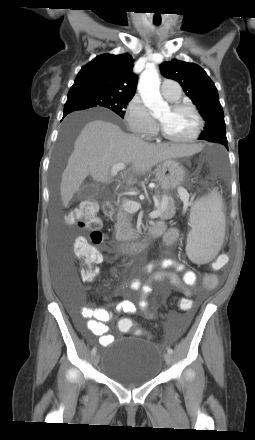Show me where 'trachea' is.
<instances>
[{"instance_id":"trachea-1","label":"trachea","mask_w":255,"mask_h":440,"mask_svg":"<svg viewBox=\"0 0 255 440\" xmlns=\"http://www.w3.org/2000/svg\"><path fill=\"white\" fill-rule=\"evenodd\" d=\"M160 23H155V25H159Z\"/></svg>"}]
</instances>
